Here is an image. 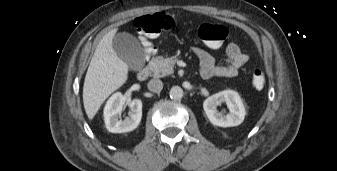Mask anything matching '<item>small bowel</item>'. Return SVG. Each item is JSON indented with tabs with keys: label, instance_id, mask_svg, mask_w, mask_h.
<instances>
[{
	"label": "small bowel",
	"instance_id": "obj_1",
	"mask_svg": "<svg viewBox=\"0 0 337 171\" xmlns=\"http://www.w3.org/2000/svg\"><path fill=\"white\" fill-rule=\"evenodd\" d=\"M194 53L199 59L201 70L200 74L203 79L212 77L233 78L239 73V70L247 63L249 57L243 53L235 43H229L226 46V64L218 65L214 57L202 48H194Z\"/></svg>",
	"mask_w": 337,
	"mask_h": 171
}]
</instances>
